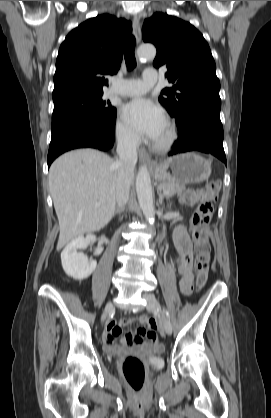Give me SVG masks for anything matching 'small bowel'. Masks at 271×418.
Segmentation results:
<instances>
[{
    "label": "small bowel",
    "instance_id": "c3829d8e",
    "mask_svg": "<svg viewBox=\"0 0 271 418\" xmlns=\"http://www.w3.org/2000/svg\"><path fill=\"white\" fill-rule=\"evenodd\" d=\"M175 246L178 253V270L181 275L180 290L185 296L191 294L193 289V248L190 238L184 227L178 226L175 232ZM134 318H122L117 323L111 322L107 326L104 335L105 350L109 353H119L122 346L132 348L135 350H145L144 338L148 337V331L144 328H139L135 334L129 332L122 339V346L115 343V339L122 333V328L134 323ZM151 340V339H150ZM152 342V349H160L157 341Z\"/></svg>",
    "mask_w": 271,
    "mask_h": 418
}]
</instances>
